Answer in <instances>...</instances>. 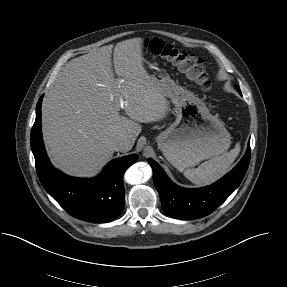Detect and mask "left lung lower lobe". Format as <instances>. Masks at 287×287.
I'll return each mask as SVG.
<instances>
[{"label":"left lung lower lobe","mask_w":287,"mask_h":287,"mask_svg":"<svg viewBox=\"0 0 287 287\" xmlns=\"http://www.w3.org/2000/svg\"><path fill=\"white\" fill-rule=\"evenodd\" d=\"M250 142L237 166L216 183L198 189L182 188L170 181L161 166L152 159L154 185L160 195L163 211L176 219H197L212 213L239 186L250 161Z\"/></svg>","instance_id":"left-lung-lower-lobe-1"}]
</instances>
